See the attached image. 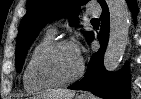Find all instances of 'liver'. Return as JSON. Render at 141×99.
<instances>
[{
  "label": "liver",
  "instance_id": "1",
  "mask_svg": "<svg viewBox=\"0 0 141 99\" xmlns=\"http://www.w3.org/2000/svg\"><path fill=\"white\" fill-rule=\"evenodd\" d=\"M76 92L73 90H54V91H48L37 98L40 99H73Z\"/></svg>",
  "mask_w": 141,
  "mask_h": 99
}]
</instances>
